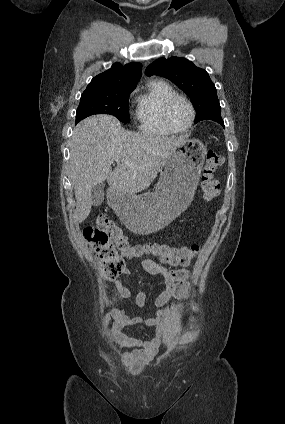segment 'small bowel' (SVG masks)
I'll return each mask as SVG.
<instances>
[{
  "label": "small bowel",
  "instance_id": "small-bowel-1",
  "mask_svg": "<svg viewBox=\"0 0 285 424\" xmlns=\"http://www.w3.org/2000/svg\"><path fill=\"white\" fill-rule=\"evenodd\" d=\"M141 266L147 272L159 276L164 282L166 288L155 298L154 304L159 309L151 317L143 318L118 310L114 307L109 308L108 316L112 321L111 333L114 340L119 344L135 348L130 352H124L121 354L120 358L124 364H130L138 356L153 355L159 347V341L157 338H149L145 340L131 338L127 336L123 330L137 325L156 326L167 314V309L164 308V306L171 298L184 300L188 295V281L190 276V272L188 270L169 269L149 258H143L141 260ZM130 276L131 270L129 268H124L121 277L114 281L116 291L122 298H131L133 295L132 291L126 286L127 283L132 282ZM135 299L139 307H144L149 303V296L141 288L138 289Z\"/></svg>",
  "mask_w": 285,
  "mask_h": 424
}]
</instances>
